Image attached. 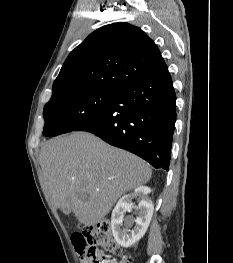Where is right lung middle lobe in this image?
Here are the masks:
<instances>
[{
    "label": "right lung middle lobe",
    "mask_w": 233,
    "mask_h": 263,
    "mask_svg": "<svg viewBox=\"0 0 233 263\" xmlns=\"http://www.w3.org/2000/svg\"><path fill=\"white\" fill-rule=\"evenodd\" d=\"M116 93L117 91L93 88L52 96L43 111V135L50 137L74 131L101 114Z\"/></svg>",
    "instance_id": "dd1d6c3e"
}]
</instances>
